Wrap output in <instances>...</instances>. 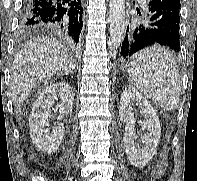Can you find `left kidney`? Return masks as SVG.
<instances>
[{"instance_id":"left-kidney-1","label":"left kidney","mask_w":197,"mask_h":181,"mask_svg":"<svg viewBox=\"0 0 197 181\" xmlns=\"http://www.w3.org/2000/svg\"><path fill=\"white\" fill-rule=\"evenodd\" d=\"M134 101L144 115V119L138 122L146 131L142 137V148L134 140L135 118L130 108V104ZM119 116L120 120L126 123L123 141L128 160L133 166L144 167L157 150L161 136L159 118L147 99L131 85L126 86L121 94Z\"/></svg>"}]
</instances>
